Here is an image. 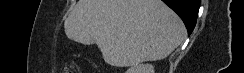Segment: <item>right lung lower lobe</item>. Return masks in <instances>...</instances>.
I'll return each mask as SVG.
<instances>
[{"instance_id": "98d812e1", "label": "right lung lower lobe", "mask_w": 244, "mask_h": 73, "mask_svg": "<svg viewBox=\"0 0 244 73\" xmlns=\"http://www.w3.org/2000/svg\"><path fill=\"white\" fill-rule=\"evenodd\" d=\"M173 9L183 20L188 35H190L196 25L200 0H162Z\"/></svg>"}]
</instances>
